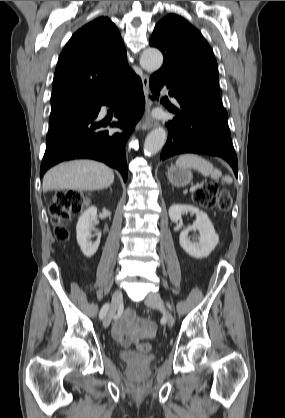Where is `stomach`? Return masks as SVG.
I'll return each instance as SVG.
<instances>
[{
	"label": "stomach",
	"instance_id": "stomach-1",
	"mask_svg": "<svg viewBox=\"0 0 285 418\" xmlns=\"http://www.w3.org/2000/svg\"><path fill=\"white\" fill-rule=\"evenodd\" d=\"M192 172L189 168H183L177 165H171L167 171L169 182L176 187L188 185L192 180Z\"/></svg>",
	"mask_w": 285,
	"mask_h": 418
}]
</instances>
